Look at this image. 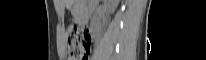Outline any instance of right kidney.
<instances>
[{
  "label": "right kidney",
  "mask_w": 206,
  "mask_h": 60,
  "mask_svg": "<svg viewBox=\"0 0 206 60\" xmlns=\"http://www.w3.org/2000/svg\"><path fill=\"white\" fill-rule=\"evenodd\" d=\"M114 5H117V3H116V4H114ZM98 30H99V25H98V24H96V25H95V31H96V32H98Z\"/></svg>",
  "instance_id": "1"
}]
</instances>
